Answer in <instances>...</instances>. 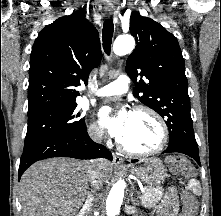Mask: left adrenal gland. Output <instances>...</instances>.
<instances>
[{
	"label": "left adrenal gland",
	"instance_id": "left-adrenal-gland-1",
	"mask_svg": "<svg viewBox=\"0 0 221 216\" xmlns=\"http://www.w3.org/2000/svg\"><path fill=\"white\" fill-rule=\"evenodd\" d=\"M134 191H135L134 186H132V191L130 193V199H131V202L133 205H138L139 204L138 199L134 198Z\"/></svg>",
	"mask_w": 221,
	"mask_h": 216
}]
</instances>
